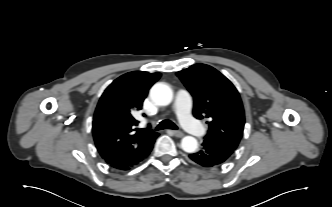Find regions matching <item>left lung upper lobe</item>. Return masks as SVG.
Returning a JSON list of instances; mask_svg holds the SVG:
<instances>
[{"mask_svg":"<svg viewBox=\"0 0 332 207\" xmlns=\"http://www.w3.org/2000/svg\"><path fill=\"white\" fill-rule=\"evenodd\" d=\"M194 98L193 115L208 118L205 139L235 150L243 134L244 109L234 85L219 71L195 64L177 72Z\"/></svg>","mask_w":332,"mask_h":207,"instance_id":"obj_1","label":"left lung upper lobe"}]
</instances>
